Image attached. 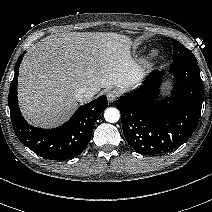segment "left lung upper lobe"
I'll return each instance as SVG.
<instances>
[{
    "instance_id": "left-lung-upper-lobe-1",
    "label": "left lung upper lobe",
    "mask_w": 212,
    "mask_h": 212,
    "mask_svg": "<svg viewBox=\"0 0 212 212\" xmlns=\"http://www.w3.org/2000/svg\"><path fill=\"white\" fill-rule=\"evenodd\" d=\"M173 43V62H183V61H194L197 62L193 53L187 49L184 45L175 39H172Z\"/></svg>"
}]
</instances>
